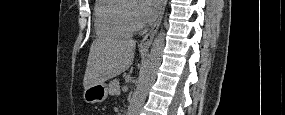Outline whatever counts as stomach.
Returning a JSON list of instances; mask_svg holds the SVG:
<instances>
[{
	"instance_id": "1",
	"label": "stomach",
	"mask_w": 285,
	"mask_h": 115,
	"mask_svg": "<svg viewBox=\"0 0 285 115\" xmlns=\"http://www.w3.org/2000/svg\"><path fill=\"white\" fill-rule=\"evenodd\" d=\"M108 88L105 83L92 85L84 90L83 99L86 103L95 104L106 100Z\"/></svg>"
}]
</instances>
